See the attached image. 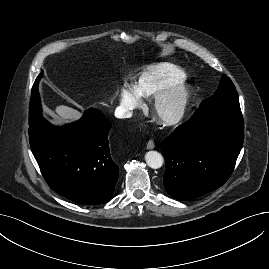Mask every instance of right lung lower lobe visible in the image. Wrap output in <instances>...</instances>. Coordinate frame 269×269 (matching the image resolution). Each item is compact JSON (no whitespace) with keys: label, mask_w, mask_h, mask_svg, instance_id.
Here are the masks:
<instances>
[{"label":"right lung lower lobe","mask_w":269,"mask_h":269,"mask_svg":"<svg viewBox=\"0 0 269 269\" xmlns=\"http://www.w3.org/2000/svg\"><path fill=\"white\" fill-rule=\"evenodd\" d=\"M110 128L104 115L93 108L86 110L80 120L63 127L42 118L29 128L31 150L54 191L84 205L111 199L119 167L109 151Z\"/></svg>","instance_id":"right-lung-lower-lobe-1"}]
</instances>
